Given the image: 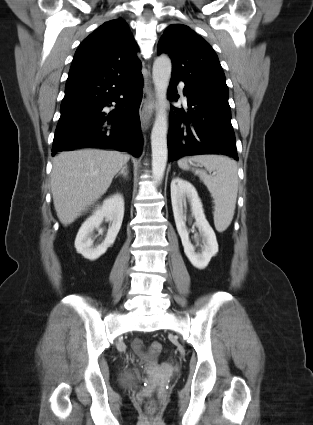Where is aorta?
Listing matches in <instances>:
<instances>
[{
	"mask_svg": "<svg viewBox=\"0 0 313 425\" xmlns=\"http://www.w3.org/2000/svg\"><path fill=\"white\" fill-rule=\"evenodd\" d=\"M171 60L166 55L158 56L153 63L152 78L156 91V98L159 109L156 113L155 122L151 132L152 148V173L154 179L162 181L166 169L168 148H167V112L166 100L169 80L171 76Z\"/></svg>",
	"mask_w": 313,
	"mask_h": 425,
	"instance_id": "762f6f07",
	"label": "aorta"
}]
</instances>
